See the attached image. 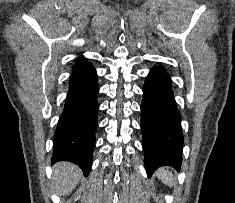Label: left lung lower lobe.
Here are the masks:
<instances>
[{"label": "left lung lower lobe", "mask_w": 235, "mask_h": 203, "mask_svg": "<svg viewBox=\"0 0 235 203\" xmlns=\"http://www.w3.org/2000/svg\"><path fill=\"white\" fill-rule=\"evenodd\" d=\"M180 121L169 75L164 68L152 69L143 87L141 104L142 145L148 176L161 166L180 170L184 142Z\"/></svg>", "instance_id": "0a47b994"}]
</instances>
